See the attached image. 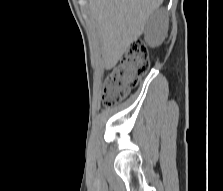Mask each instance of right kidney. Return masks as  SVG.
<instances>
[{
  "mask_svg": "<svg viewBox=\"0 0 223 191\" xmlns=\"http://www.w3.org/2000/svg\"><path fill=\"white\" fill-rule=\"evenodd\" d=\"M168 30V21L164 9L158 10L148 21L145 32L146 42L152 46H158L165 38Z\"/></svg>",
  "mask_w": 223,
  "mask_h": 191,
  "instance_id": "right-kidney-1",
  "label": "right kidney"
}]
</instances>
